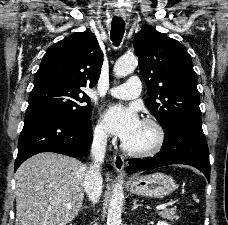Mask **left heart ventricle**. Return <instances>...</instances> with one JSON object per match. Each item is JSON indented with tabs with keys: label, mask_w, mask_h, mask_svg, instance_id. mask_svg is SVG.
<instances>
[{
	"label": "left heart ventricle",
	"mask_w": 228,
	"mask_h": 225,
	"mask_svg": "<svg viewBox=\"0 0 228 225\" xmlns=\"http://www.w3.org/2000/svg\"><path fill=\"white\" fill-rule=\"evenodd\" d=\"M156 142V134L154 130L142 124L139 134L131 141L127 142L130 146L134 148H149L152 147Z\"/></svg>",
	"instance_id": "b2bd125f"
}]
</instances>
